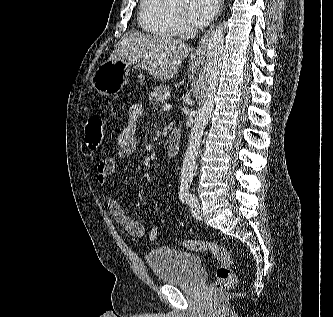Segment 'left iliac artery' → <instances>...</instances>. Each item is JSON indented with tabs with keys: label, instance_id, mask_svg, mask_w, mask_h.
Segmentation results:
<instances>
[{
	"label": "left iliac artery",
	"instance_id": "left-iliac-artery-1",
	"mask_svg": "<svg viewBox=\"0 0 333 317\" xmlns=\"http://www.w3.org/2000/svg\"><path fill=\"white\" fill-rule=\"evenodd\" d=\"M189 187L190 186L188 184L181 185L180 192H179V198L183 203H185L189 206H193L197 199L194 195H192L191 193L188 192Z\"/></svg>",
	"mask_w": 333,
	"mask_h": 317
}]
</instances>
